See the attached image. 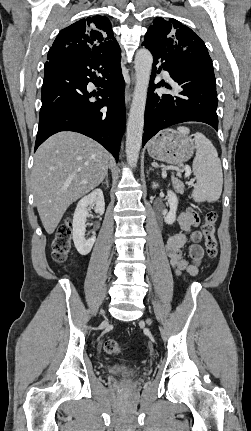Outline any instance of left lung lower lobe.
<instances>
[{"label":"left lung lower lobe","mask_w":251,"mask_h":431,"mask_svg":"<svg viewBox=\"0 0 251 431\" xmlns=\"http://www.w3.org/2000/svg\"><path fill=\"white\" fill-rule=\"evenodd\" d=\"M152 53L154 61L149 95L145 110V124L142 146L160 130L171 125L198 121L211 125L218 130L217 92L213 67L188 62L184 57L166 52L161 46L143 42ZM161 63L159 70L156 65ZM164 69L179 86L174 94L158 96L155 88L171 86L158 83L154 85L156 72Z\"/></svg>","instance_id":"obj_1"}]
</instances>
